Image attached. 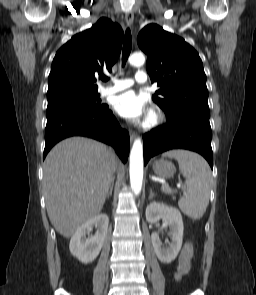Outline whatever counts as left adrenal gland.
<instances>
[{"label":"left adrenal gland","mask_w":256,"mask_h":295,"mask_svg":"<svg viewBox=\"0 0 256 295\" xmlns=\"http://www.w3.org/2000/svg\"><path fill=\"white\" fill-rule=\"evenodd\" d=\"M153 196H155V194L153 193L152 188L150 189V194H149V199H151Z\"/></svg>","instance_id":"obj_1"}]
</instances>
